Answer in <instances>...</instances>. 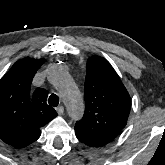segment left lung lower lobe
<instances>
[{
	"mask_svg": "<svg viewBox=\"0 0 165 165\" xmlns=\"http://www.w3.org/2000/svg\"><path fill=\"white\" fill-rule=\"evenodd\" d=\"M76 132V137L78 138L79 141H81L82 143L90 146V147H98V146H102L100 143H98L96 140L84 135L83 133H80L78 131Z\"/></svg>",
	"mask_w": 165,
	"mask_h": 165,
	"instance_id": "1",
	"label": "left lung lower lobe"
}]
</instances>
